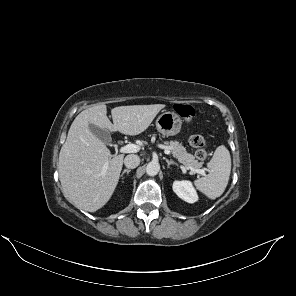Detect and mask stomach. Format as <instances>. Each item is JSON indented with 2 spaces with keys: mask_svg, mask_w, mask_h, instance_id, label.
I'll return each instance as SVG.
<instances>
[{
  "mask_svg": "<svg viewBox=\"0 0 296 296\" xmlns=\"http://www.w3.org/2000/svg\"><path fill=\"white\" fill-rule=\"evenodd\" d=\"M182 120L175 112L166 111L156 120L157 130L165 136H173L180 132Z\"/></svg>",
  "mask_w": 296,
  "mask_h": 296,
  "instance_id": "0dacf381",
  "label": "stomach"
}]
</instances>
